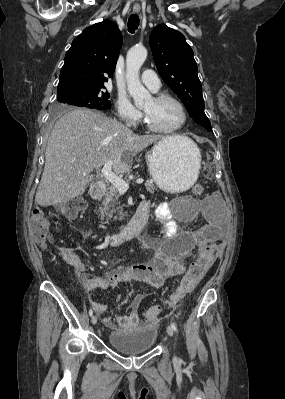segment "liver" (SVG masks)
I'll return each mask as SVG.
<instances>
[{
  "instance_id": "liver-1",
  "label": "liver",
  "mask_w": 285,
  "mask_h": 399,
  "mask_svg": "<svg viewBox=\"0 0 285 399\" xmlns=\"http://www.w3.org/2000/svg\"><path fill=\"white\" fill-rule=\"evenodd\" d=\"M171 138L137 135L117 120L88 109L68 111L49 136L35 202L40 206L68 202L85 192L95 168L110 160L116 174L126 173L134 153Z\"/></svg>"
}]
</instances>
